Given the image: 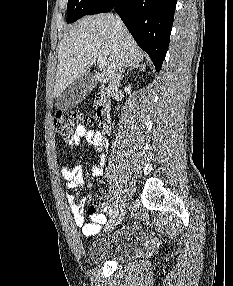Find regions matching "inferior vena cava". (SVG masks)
I'll return each instance as SVG.
<instances>
[{
    "label": "inferior vena cava",
    "mask_w": 233,
    "mask_h": 286,
    "mask_svg": "<svg viewBox=\"0 0 233 286\" xmlns=\"http://www.w3.org/2000/svg\"><path fill=\"white\" fill-rule=\"evenodd\" d=\"M116 18H117L116 27L119 28L122 26V21L120 20L119 17ZM123 72H124V65L120 63V67L117 72L116 78L112 80V82H110L108 85V92L110 93V95L114 96L117 93L119 82L122 79Z\"/></svg>",
    "instance_id": "obj_1"
}]
</instances>
